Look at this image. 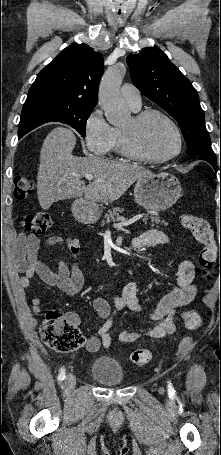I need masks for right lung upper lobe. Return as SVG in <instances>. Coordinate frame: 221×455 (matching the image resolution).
Returning <instances> with one entry per match:
<instances>
[{"mask_svg": "<svg viewBox=\"0 0 221 455\" xmlns=\"http://www.w3.org/2000/svg\"><path fill=\"white\" fill-rule=\"evenodd\" d=\"M103 56L87 44L65 48L37 76L24 105L58 103L95 106Z\"/></svg>", "mask_w": 221, "mask_h": 455, "instance_id": "1", "label": "right lung upper lobe"}]
</instances>
